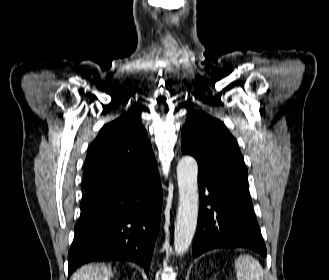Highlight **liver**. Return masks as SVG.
<instances>
[{
    "label": "liver",
    "instance_id": "6515ba94",
    "mask_svg": "<svg viewBox=\"0 0 329 280\" xmlns=\"http://www.w3.org/2000/svg\"><path fill=\"white\" fill-rule=\"evenodd\" d=\"M112 269L106 265H86L73 275L71 280H109Z\"/></svg>",
    "mask_w": 329,
    "mask_h": 280
}]
</instances>
